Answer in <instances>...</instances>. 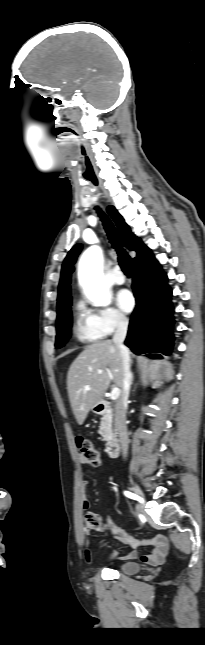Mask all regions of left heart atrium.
Masks as SVG:
<instances>
[{"label": "left heart atrium", "instance_id": "obj_1", "mask_svg": "<svg viewBox=\"0 0 205 645\" xmlns=\"http://www.w3.org/2000/svg\"><path fill=\"white\" fill-rule=\"evenodd\" d=\"M117 303L124 312H131L135 305V300L129 290H121L117 294Z\"/></svg>", "mask_w": 205, "mask_h": 645}]
</instances>
